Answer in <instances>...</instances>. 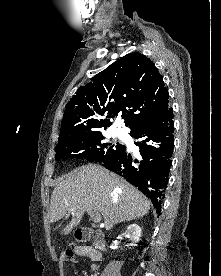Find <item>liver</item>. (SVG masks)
I'll list each match as a JSON object with an SVG mask.
<instances>
[{"instance_id": "1", "label": "liver", "mask_w": 221, "mask_h": 276, "mask_svg": "<svg viewBox=\"0 0 221 276\" xmlns=\"http://www.w3.org/2000/svg\"><path fill=\"white\" fill-rule=\"evenodd\" d=\"M150 201L127 181L100 165L76 169L53 190L50 221L72 213V220L62 230L68 234L76 228L85 212L101 213L106 230L114 225L138 219L150 210Z\"/></svg>"}]
</instances>
